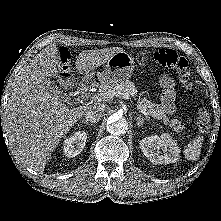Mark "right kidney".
Here are the masks:
<instances>
[{
	"instance_id": "right-kidney-1",
	"label": "right kidney",
	"mask_w": 221,
	"mask_h": 221,
	"mask_svg": "<svg viewBox=\"0 0 221 221\" xmlns=\"http://www.w3.org/2000/svg\"><path fill=\"white\" fill-rule=\"evenodd\" d=\"M87 140L85 131H77L63 142V152L68 158L75 157L84 149Z\"/></svg>"
}]
</instances>
